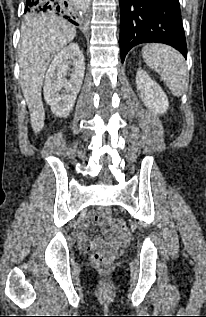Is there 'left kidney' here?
<instances>
[{
  "instance_id": "obj_1",
  "label": "left kidney",
  "mask_w": 206,
  "mask_h": 317,
  "mask_svg": "<svg viewBox=\"0 0 206 317\" xmlns=\"http://www.w3.org/2000/svg\"><path fill=\"white\" fill-rule=\"evenodd\" d=\"M137 89L140 90V97L154 114H164L168 107L169 101L161 87L153 81L148 73L138 69L136 73Z\"/></svg>"
}]
</instances>
